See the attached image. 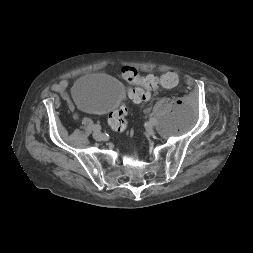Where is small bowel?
I'll use <instances>...</instances> for the list:
<instances>
[{
    "label": "small bowel",
    "mask_w": 253,
    "mask_h": 253,
    "mask_svg": "<svg viewBox=\"0 0 253 253\" xmlns=\"http://www.w3.org/2000/svg\"><path fill=\"white\" fill-rule=\"evenodd\" d=\"M60 85H61L62 87H65V86H67V82H66V81H62Z\"/></svg>",
    "instance_id": "c3829d8e"
}]
</instances>
